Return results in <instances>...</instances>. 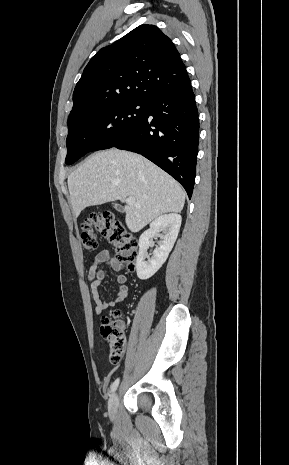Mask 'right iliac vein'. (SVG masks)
Here are the masks:
<instances>
[{
  "instance_id": "63e3f726",
  "label": "right iliac vein",
  "mask_w": 289,
  "mask_h": 465,
  "mask_svg": "<svg viewBox=\"0 0 289 465\" xmlns=\"http://www.w3.org/2000/svg\"><path fill=\"white\" fill-rule=\"evenodd\" d=\"M118 403H119V397L117 392H114L109 400L108 404V412L109 416L111 419H114L117 413V408H118Z\"/></svg>"
}]
</instances>
